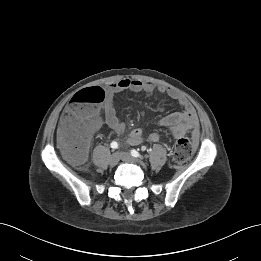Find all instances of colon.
<instances>
[{
  "label": "colon",
  "mask_w": 261,
  "mask_h": 261,
  "mask_svg": "<svg viewBox=\"0 0 261 261\" xmlns=\"http://www.w3.org/2000/svg\"><path fill=\"white\" fill-rule=\"evenodd\" d=\"M104 100L102 88L90 87L77 92L68 103L59 135L62 152L72 163L81 164L85 161L88 152V121ZM193 152L192 142L184 136L179 137L174 146L173 160L178 164L185 163Z\"/></svg>",
  "instance_id": "obj_1"
}]
</instances>
